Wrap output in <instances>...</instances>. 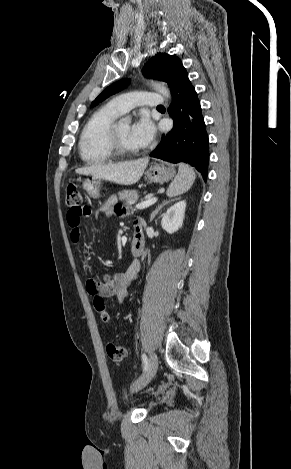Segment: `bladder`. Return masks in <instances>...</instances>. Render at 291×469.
<instances>
[{"mask_svg":"<svg viewBox=\"0 0 291 469\" xmlns=\"http://www.w3.org/2000/svg\"><path fill=\"white\" fill-rule=\"evenodd\" d=\"M121 396L122 399L129 404H133L137 401V399L127 390H123Z\"/></svg>","mask_w":291,"mask_h":469,"instance_id":"1","label":"bladder"}]
</instances>
